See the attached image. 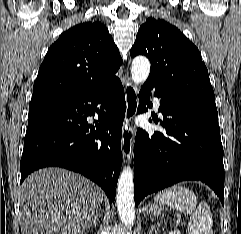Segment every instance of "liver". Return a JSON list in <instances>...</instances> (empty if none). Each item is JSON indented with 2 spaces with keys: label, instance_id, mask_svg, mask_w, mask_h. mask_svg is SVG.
Instances as JSON below:
<instances>
[{
  "label": "liver",
  "instance_id": "1",
  "mask_svg": "<svg viewBox=\"0 0 241 234\" xmlns=\"http://www.w3.org/2000/svg\"><path fill=\"white\" fill-rule=\"evenodd\" d=\"M103 191L60 168L29 175L20 187L22 234H82L100 212Z\"/></svg>",
  "mask_w": 241,
  "mask_h": 234
}]
</instances>
